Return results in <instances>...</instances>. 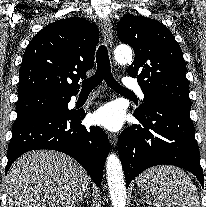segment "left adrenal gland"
I'll use <instances>...</instances> for the list:
<instances>
[{"label": "left adrenal gland", "instance_id": "a2214340", "mask_svg": "<svg viewBox=\"0 0 206 207\" xmlns=\"http://www.w3.org/2000/svg\"><path fill=\"white\" fill-rule=\"evenodd\" d=\"M137 201V198L135 197V202Z\"/></svg>", "mask_w": 206, "mask_h": 207}]
</instances>
